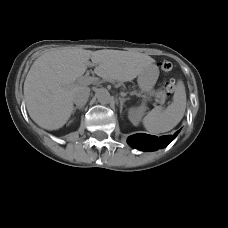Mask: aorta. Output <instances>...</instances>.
I'll return each instance as SVG.
<instances>
[{
	"mask_svg": "<svg viewBox=\"0 0 228 228\" xmlns=\"http://www.w3.org/2000/svg\"><path fill=\"white\" fill-rule=\"evenodd\" d=\"M97 100L100 104H109L112 101V97L108 90L106 89H99L96 93Z\"/></svg>",
	"mask_w": 228,
	"mask_h": 228,
	"instance_id": "obj_1",
	"label": "aorta"
}]
</instances>
